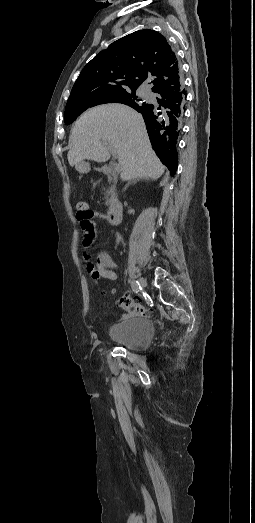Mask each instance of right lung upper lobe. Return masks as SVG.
<instances>
[{
    "mask_svg": "<svg viewBox=\"0 0 255 523\" xmlns=\"http://www.w3.org/2000/svg\"><path fill=\"white\" fill-rule=\"evenodd\" d=\"M146 83L158 94L157 103L132 100L126 105L142 114L153 149L175 174L187 93L176 55L158 32L136 31L97 54L81 71L67 104L133 93Z\"/></svg>",
    "mask_w": 255,
    "mask_h": 523,
    "instance_id": "1",
    "label": "right lung upper lobe"
}]
</instances>
